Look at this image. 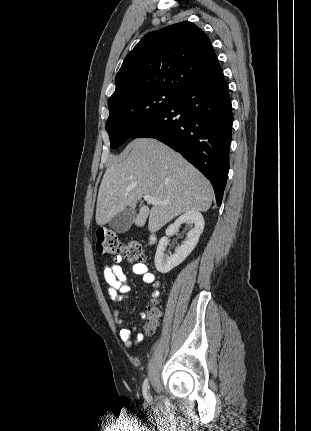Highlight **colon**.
I'll return each mask as SVG.
<instances>
[{"label": "colon", "instance_id": "obj_1", "mask_svg": "<svg viewBox=\"0 0 311 431\" xmlns=\"http://www.w3.org/2000/svg\"><path fill=\"white\" fill-rule=\"evenodd\" d=\"M96 250L100 254H122L129 261L143 260L145 250L137 241L123 244L117 234L110 229L100 228L96 233ZM162 312L156 302L146 307L143 331L146 335L152 334L160 321Z\"/></svg>", "mask_w": 311, "mask_h": 431}]
</instances>
